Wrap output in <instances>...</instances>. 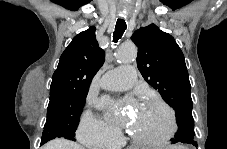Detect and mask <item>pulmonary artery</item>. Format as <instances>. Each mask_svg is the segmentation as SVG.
<instances>
[{
  "mask_svg": "<svg viewBox=\"0 0 227 149\" xmlns=\"http://www.w3.org/2000/svg\"><path fill=\"white\" fill-rule=\"evenodd\" d=\"M136 82V70L133 66H120L106 72L100 81L102 88L123 91L131 88Z\"/></svg>",
  "mask_w": 227,
  "mask_h": 149,
  "instance_id": "1",
  "label": "pulmonary artery"
}]
</instances>
